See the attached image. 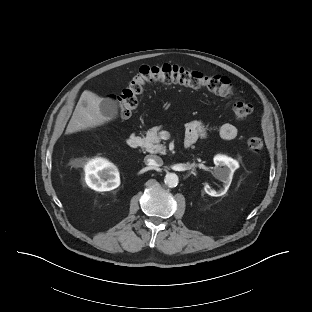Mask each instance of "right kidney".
<instances>
[{
  "instance_id": "obj_1",
  "label": "right kidney",
  "mask_w": 312,
  "mask_h": 312,
  "mask_svg": "<svg viewBox=\"0 0 312 312\" xmlns=\"http://www.w3.org/2000/svg\"><path fill=\"white\" fill-rule=\"evenodd\" d=\"M85 181L96 191H110L120 185L116 166L101 158L92 160L85 166Z\"/></svg>"
}]
</instances>
